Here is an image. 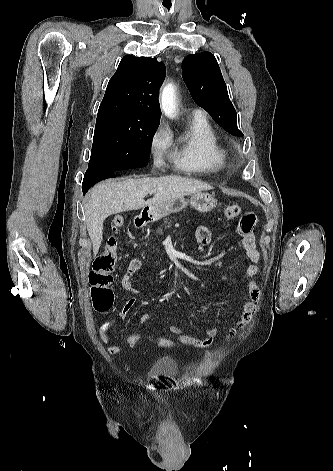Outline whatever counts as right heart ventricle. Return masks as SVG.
Listing matches in <instances>:
<instances>
[{
	"instance_id": "obj_1",
	"label": "right heart ventricle",
	"mask_w": 333,
	"mask_h": 471,
	"mask_svg": "<svg viewBox=\"0 0 333 471\" xmlns=\"http://www.w3.org/2000/svg\"><path fill=\"white\" fill-rule=\"evenodd\" d=\"M227 158V150L217 131L203 115L190 120L172 151L175 165L190 173L220 170L225 166Z\"/></svg>"
}]
</instances>
